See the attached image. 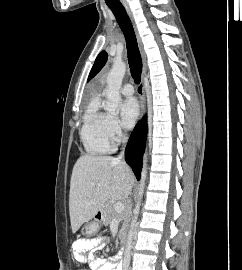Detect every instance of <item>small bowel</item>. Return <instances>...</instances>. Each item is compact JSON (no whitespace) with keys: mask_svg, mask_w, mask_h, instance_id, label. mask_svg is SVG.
<instances>
[{"mask_svg":"<svg viewBox=\"0 0 242 270\" xmlns=\"http://www.w3.org/2000/svg\"><path fill=\"white\" fill-rule=\"evenodd\" d=\"M106 244L104 239H92L78 241L74 245L76 259L87 262L93 270H121L119 256L115 255L109 259L97 258L94 253Z\"/></svg>","mask_w":242,"mask_h":270,"instance_id":"small-bowel-1","label":"small bowel"}]
</instances>
